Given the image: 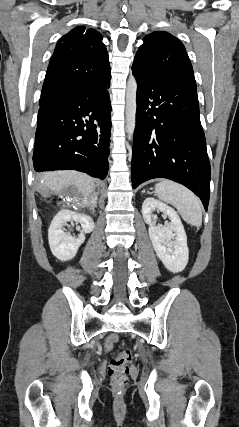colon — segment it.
I'll return each mask as SVG.
<instances>
[{"label": "colon", "mask_w": 239, "mask_h": 427, "mask_svg": "<svg viewBox=\"0 0 239 427\" xmlns=\"http://www.w3.org/2000/svg\"><path fill=\"white\" fill-rule=\"evenodd\" d=\"M132 353L130 350L119 352L110 361L108 373L112 386L117 393H122L128 382Z\"/></svg>", "instance_id": "1"}]
</instances>
